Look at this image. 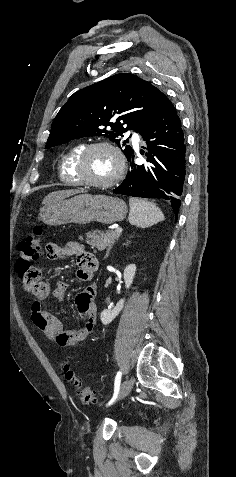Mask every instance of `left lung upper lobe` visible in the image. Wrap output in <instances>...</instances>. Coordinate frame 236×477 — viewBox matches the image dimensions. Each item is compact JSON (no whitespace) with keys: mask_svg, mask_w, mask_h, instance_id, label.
<instances>
[{"mask_svg":"<svg viewBox=\"0 0 236 477\" xmlns=\"http://www.w3.org/2000/svg\"><path fill=\"white\" fill-rule=\"evenodd\" d=\"M161 95L150 82L131 73L117 74L81 89L56 115L45 148L81 137L105 136L129 158L132 147L128 140L117 137L131 129L142 136L157 114Z\"/></svg>","mask_w":236,"mask_h":477,"instance_id":"obj_1","label":"left lung upper lobe"}]
</instances>
